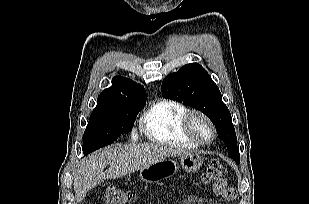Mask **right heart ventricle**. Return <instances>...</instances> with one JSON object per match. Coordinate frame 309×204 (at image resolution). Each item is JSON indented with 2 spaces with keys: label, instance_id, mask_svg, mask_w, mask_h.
<instances>
[{
  "label": "right heart ventricle",
  "instance_id": "obj_1",
  "mask_svg": "<svg viewBox=\"0 0 309 204\" xmlns=\"http://www.w3.org/2000/svg\"><path fill=\"white\" fill-rule=\"evenodd\" d=\"M187 111L188 108L179 101L158 100L142 114V131L148 140L157 144L196 147L182 128V120Z\"/></svg>",
  "mask_w": 309,
  "mask_h": 204
}]
</instances>
